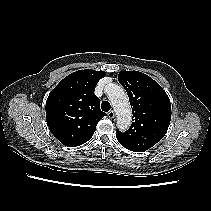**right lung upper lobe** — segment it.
Returning <instances> with one entry per match:
<instances>
[{
    "instance_id": "1",
    "label": "right lung upper lobe",
    "mask_w": 211,
    "mask_h": 211,
    "mask_svg": "<svg viewBox=\"0 0 211 211\" xmlns=\"http://www.w3.org/2000/svg\"><path fill=\"white\" fill-rule=\"evenodd\" d=\"M104 71L79 70L65 77L49 94L46 121L50 132L65 146L76 147L90 140L105 116L94 90Z\"/></svg>"
}]
</instances>
